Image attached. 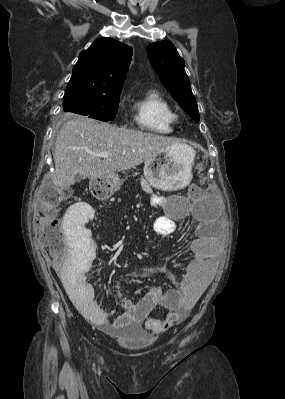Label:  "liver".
I'll return each instance as SVG.
<instances>
[{
    "label": "liver",
    "mask_w": 285,
    "mask_h": 399,
    "mask_svg": "<svg viewBox=\"0 0 285 399\" xmlns=\"http://www.w3.org/2000/svg\"><path fill=\"white\" fill-rule=\"evenodd\" d=\"M175 145L178 144L161 135L76 116L63 125L56 138L52 183L68 188L74 185L76 175L90 179L116 175ZM102 152H108L109 157L93 155Z\"/></svg>",
    "instance_id": "obj_1"
}]
</instances>
